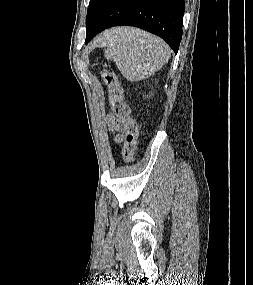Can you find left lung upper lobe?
Returning <instances> with one entry per match:
<instances>
[{
    "label": "left lung upper lobe",
    "mask_w": 253,
    "mask_h": 285,
    "mask_svg": "<svg viewBox=\"0 0 253 285\" xmlns=\"http://www.w3.org/2000/svg\"><path fill=\"white\" fill-rule=\"evenodd\" d=\"M109 0H90L87 18H86V33L93 27L97 19L103 12Z\"/></svg>",
    "instance_id": "1"
}]
</instances>
